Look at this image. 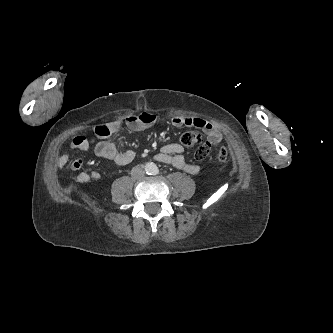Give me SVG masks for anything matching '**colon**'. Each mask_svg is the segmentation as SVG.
<instances>
[{
    "label": "colon",
    "instance_id": "colon-1",
    "mask_svg": "<svg viewBox=\"0 0 333 333\" xmlns=\"http://www.w3.org/2000/svg\"><path fill=\"white\" fill-rule=\"evenodd\" d=\"M94 131L99 137L110 135V130L105 124L95 126ZM180 141L185 147L198 146L194 154L195 159L198 161L211 157L215 162L223 163L229 158L228 151L225 148L212 150L210 143L204 142L201 134L198 132H186L181 136Z\"/></svg>",
    "mask_w": 333,
    "mask_h": 333
}]
</instances>
